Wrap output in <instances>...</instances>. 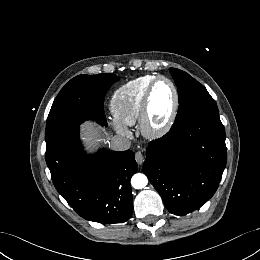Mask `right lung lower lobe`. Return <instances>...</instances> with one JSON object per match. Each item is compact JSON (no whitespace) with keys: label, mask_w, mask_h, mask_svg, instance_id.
<instances>
[{"label":"right lung lower lobe","mask_w":260,"mask_h":260,"mask_svg":"<svg viewBox=\"0 0 260 260\" xmlns=\"http://www.w3.org/2000/svg\"><path fill=\"white\" fill-rule=\"evenodd\" d=\"M134 156L131 150L86 155L79 126L45 154L57 191L81 217L102 224L123 223L132 215L130 179L138 169Z\"/></svg>","instance_id":"1"}]
</instances>
